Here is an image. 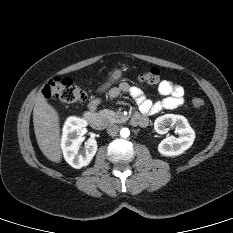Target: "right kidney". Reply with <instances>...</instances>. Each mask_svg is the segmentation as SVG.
<instances>
[{
  "mask_svg": "<svg viewBox=\"0 0 233 233\" xmlns=\"http://www.w3.org/2000/svg\"><path fill=\"white\" fill-rule=\"evenodd\" d=\"M87 126L86 120L78 117H69L62 129L61 147L65 160L73 168L80 169L87 166L97 152V142L89 138L85 148L80 151L82 130Z\"/></svg>",
  "mask_w": 233,
  "mask_h": 233,
  "instance_id": "1",
  "label": "right kidney"
}]
</instances>
